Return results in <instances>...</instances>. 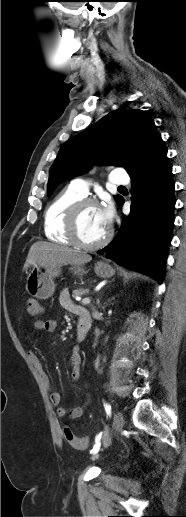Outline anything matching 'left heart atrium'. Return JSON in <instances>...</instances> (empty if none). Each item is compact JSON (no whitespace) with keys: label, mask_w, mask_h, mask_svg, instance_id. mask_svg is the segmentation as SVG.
Masks as SVG:
<instances>
[{"label":"left heart atrium","mask_w":186,"mask_h":517,"mask_svg":"<svg viewBox=\"0 0 186 517\" xmlns=\"http://www.w3.org/2000/svg\"><path fill=\"white\" fill-rule=\"evenodd\" d=\"M113 207L110 202H106L101 207H99V214L102 222L107 227L110 225L113 219Z\"/></svg>","instance_id":"39dd6f15"}]
</instances>
